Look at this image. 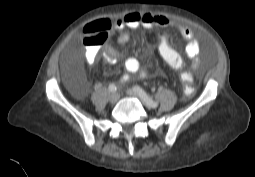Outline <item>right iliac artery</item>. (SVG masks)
Instances as JSON below:
<instances>
[{
	"label": "right iliac artery",
	"mask_w": 255,
	"mask_h": 177,
	"mask_svg": "<svg viewBox=\"0 0 255 177\" xmlns=\"http://www.w3.org/2000/svg\"><path fill=\"white\" fill-rule=\"evenodd\" d=\"M116 90H117V87L115 86V84H110L109 85V91L110 92L114 93V92H116Z\"/></svg>",
	"instance_id": "right-iliac-artery-1"
}]
</instances>
